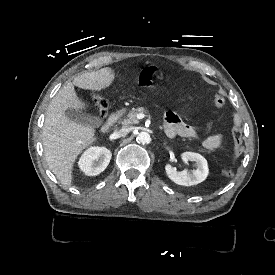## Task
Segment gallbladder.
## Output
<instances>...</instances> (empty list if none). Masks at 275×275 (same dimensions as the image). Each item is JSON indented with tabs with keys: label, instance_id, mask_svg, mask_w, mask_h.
Masks as SVG:
<instances>
[{
	"label": "gallbladder",
	"instance_id": "1",
	"mask_svg": "<svg viewBox=\"0 0 275 275\" xmlns=\"http://www.w3.org/2000/svg\"><path fill=\"white\" fill-rule=\"evenodd\" d=\"M66 114L73 121L80 123L84 126L100 127L103 123L102 118L99 116L87 115L83 112H78L75 110H68Z\"/></svg>",
	"mask_w": 275,
	"mask_h": 275
}]
</instances>
